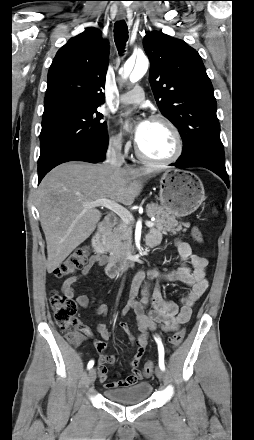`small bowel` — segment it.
<instances>
[{
  "label": "small bowel",
  "instance_id": "small-bowel-1",
  "mask_svg": "<svg viewBox=\"0 0 254 440\" xmlns=\"http://www.w3.org/2000/svg\"><path fill=\"white\" fill-rule=\"evenodd\" d=\"M161 239V233L153 229L146 235L145 243L149 247H155L161 242ZM175 244L181 258V265L177 269L167 272H160L153 268L142 269L134 277L131 296L123 311L134 310L141 333L134 335L130 332L127 323H120V327L127 332L130 341L136 347L130 360L131 374L125 379L108 381L107 365L114 364L116 358L114 355L105 353L106 341L110 338L108 327L105 324L96 326L99 339L94 342V347L99 354V379L106 389L126 387L139 382L142 378L139 365L148 343L149 332L154 331L157 327L167 332L175 331L182 324L188 322L195 303L208 288L206 279L207 259L193 254L190 245L184 241L177 240ZM105 261L104 257L94 255L79 274L65 280L61 287L62 292L69 298H74L75 286L78 281L89 275L96 266L104 265ZM164 282L180 283L187 287V292L181 299L180 307L175 302L163 298L162 284ZM139 294L141 298L138 301L136 297ZM75 301L83 308H87L89 305V298L86 295H77ZM107 312L108 309L103 304L94 310V313L100 315H106Z\"/></svg>",
  "mask_w": 254,
  "mask_h": 440
}]
</instances>
